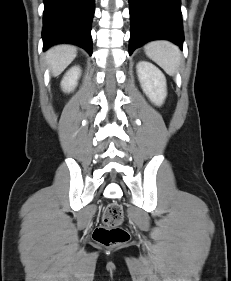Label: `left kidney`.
<instances>
[{"label": "left kidney", "instance_id": "left-kidney-1", "mask_svg": "<svg viewBox=\"0 0 231 281\" xmlns=\"http://www.w3.org/2000/svg\"><path fill=\"white\" fill-rule=\"evenodd\" d=\"M141 87L149 99L157 106L163 104L167 95L166 78L152 63L141 61L137 65Z\"/></svg>", "mask_w": 231, "mask_h": 281}]
</instances>
